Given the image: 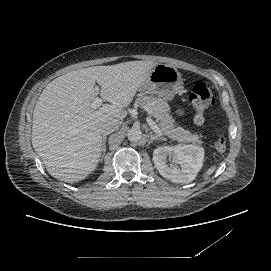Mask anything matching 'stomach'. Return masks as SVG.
Masks as SVG:
<instances>
[{"label":"stomach","instance_id":"1","mask_svg":"<svg viewBox=\"0 0 271 271\" xmlns=\"http://www.w3.org/2000/svg\"><path fill=\"white\" fill-rule=\"evenodd\" d=\"M146 89L163 97L166 101H173L174 97L183 89L182 75L176 67L159 63L150 73ZM174 112L179 118L186 116L185 109L179 104H176Z\"/></svg>","mask_w":271,"mask_h":271}]
</instances>
